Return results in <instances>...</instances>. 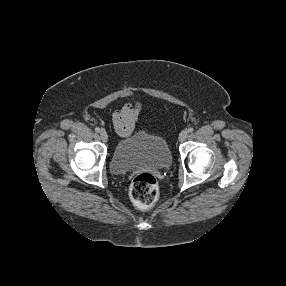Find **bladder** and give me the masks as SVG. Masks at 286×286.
<instances>
[{"label": "bladder", "mask_w": 286, "mask_h": 286, "mask_svg": "<svg viewBox=\"0 0 286 286\" xmlns=\"http://www.w3.org/2000/svg\"><path fill=\"white\" fill-rule=\"evenodd\" d=\"M172 162L166 139L147 129H139L117 142L110 164L115 174H124L140 167L165 170Z\"/></svg>", "instance_id": "obj_1"}]
</instances>
